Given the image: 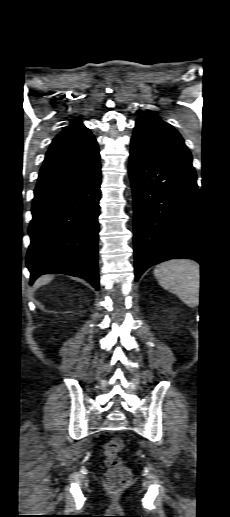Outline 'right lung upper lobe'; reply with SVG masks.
Returning a JSON list of instances; mask_svg holds the SVG:
<instances>
[{"label":"right lung upper lobe","mask_w":230,"mask_h":517,"mask_svg":"<svg viewBox=\"0 0 230 517\" xmlns=\"http://www.w3.org/2000/svg\"><path fill=\"white\" fill-rule=\"evenodd\" d=\"M99 159L96 139L81 121H75L53 139L37 186L78 176L99 164Z\"/></svg>","instance_id":"cb5924a9"}]
</instances>
